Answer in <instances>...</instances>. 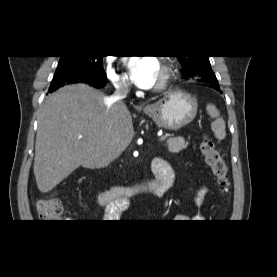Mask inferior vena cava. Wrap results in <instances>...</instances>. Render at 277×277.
Masks as SVG:
<instances>
[{"label":"inferior vena cava","instance_id":"obj_1","mask_svg":"<svg viewBox=\"0 0 277 277\" xmlns=\"http://www.w3.org/2000/svg\"><path fill=\"white\" fill-rule=\"evenodd\" d=\"M128 93V84L126 82H120L115 84V92L111 95L106 103L109 105L114 103L123 104L122 100L126 97Z\"/></svg>","mask_w":277,"mask_h":277}]
</instances>
